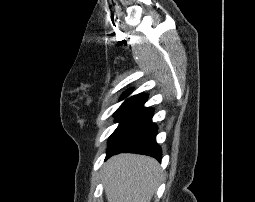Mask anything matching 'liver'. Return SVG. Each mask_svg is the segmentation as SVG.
Instances as JSON below:
<instances>
[{
  "instance_id": "liver-1",
  "label": "liver",
  "mask_w": 255,
  "mask_h": 202,
  "mask_svg": "<svg viewBox=\"0 0 255 202\" xmlns=\"http://www.w3.org/2000/svg\"><path fill=\"white\" fill-rule=\"evenodd\" d=\"M160 179L158 162L148 156L119 154L104 165L108 202H150Z\"/></svg>"
}]
</instances>
